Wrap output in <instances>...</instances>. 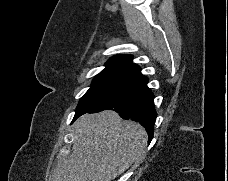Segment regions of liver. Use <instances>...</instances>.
I'll list each match as a JSON object with an SVG mask.
<instances>
[{
  "label": "liver",
  "instance_id": "obj_1",
  "mask_svg": "<svg viewBox=\"0 0 228 181\" xmlns=\"http://www.w3.org/2000/svg\"><path fill=\"white\" fill-rule=\"evenodd\" d=\"M73 127L72 153L61 159L52 181H114L144 159L145 129L115 111L82 115Z\"/></svg>",
  "mask_w": 228,
  "mask_h": 181
}]
</instances>
